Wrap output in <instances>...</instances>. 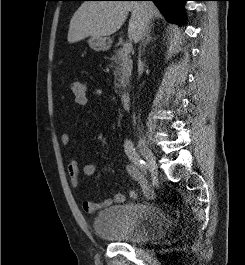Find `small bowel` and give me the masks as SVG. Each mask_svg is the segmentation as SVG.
<instances>
[{
	"label": "small bowel",
	"mask_w": 245,
	"mask_h": 265,
	"mask_svg": "<svg viewBox=\"0 0 245 265\" xmlns=\"http://www.w3.org/2000/svg\"><path fill=\"white\" fill-rule=\"evenodd\" d=\"M92 94L95 97H102L105 95V92L102 88H94ZM70 136L68 133L64 132L60 136V142L62 145L66 146L69 144ZM66 170L68 174V179L72 187L78 188L80 186V177L81 176H92L96 172V165L93 162L85 163L81 168L78 165L77 160L70 158L66 165ZM127 173L141 186L145 196L147 198H153L154 192L150 189L146 177L144 174L135 166L128 165L126 167ZM129 196L132 199L138 197V193L135 190L129 192ZM125 196L122 193H115L111 198H107L104 201L97 203L91 200H84L82 202V209L87 214H94L102 208H107L113 204L124 203Z\"/></svg>",
	"instance_id": "small-bowel-1"
}]
</instances>
